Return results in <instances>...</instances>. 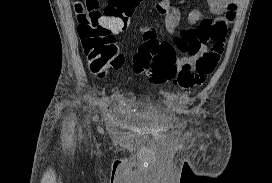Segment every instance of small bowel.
<instances>
[{"instance_id":"obj_1","label":"small bowel","mask_w":272,"mask_h":183,"mask_svg":"<svg viewBox=\"0 0 272 183\" xmlns=\"http://www.w3.org/2000/svg\"><path fill=\"white\" fill-rule=\"evenodd\" d=\"M209 10L215 19L205 17L201 10L192 9L187 13L188 28L181 31L175 45L187 55L177 60L178 68L192 66L207 51L208 44L218 39H225L228 29L236 17L238 0H207ZM156 11L165 17V30L173 34L181 22L180 11L169 0H162L155 5ZM144 42L158 40L157 31L152 26H141Z\"/></svg>"}]
</instances>
